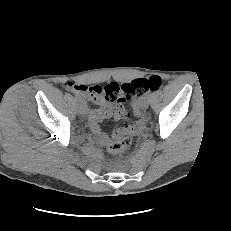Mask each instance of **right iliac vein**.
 Returning <instances> with one entry per match:
<instances>
[{"mask_svg":"<svg viewBox=\"0 0 231 231\" xmlns=\"http://www.w3.org/2000/svg\"><path fill=\"white\" fill-rule=\"evenodd\" d=\"M77 112L80 114V115H85L86 112H87V106L86 104L83 102V101H80L78 104H77Z\"/></svg>","mask_w":231,"mask_h":231,"instance_id":"obj_1","label":"right iliac vein"}]
</instances>
